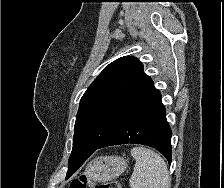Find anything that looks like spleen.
Segmentation results:
<instances>
[{"instance_id":"obj_1","label":"spleen","mask_w":224,"mask_h":188,"mask_svg":"<svg viewBox=\"0 0 224 188\" xmlns=\"http://www.w3.org/2000/svg\"><path fill=\"white\" fill-rule=\"evenodd\" d=\"M131 156L136 161L129 181L131 188H170L169 172L160 155L139 146L131 149Z\"/></svg>"}]
</instances>
